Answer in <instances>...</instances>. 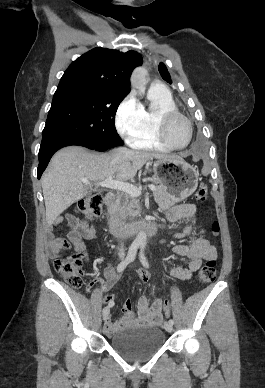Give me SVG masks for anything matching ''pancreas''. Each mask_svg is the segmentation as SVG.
Returning a JSON list of instances; mask_svg holds the SVG:
<instances>
[{
  "label": "pancreas",
  "instance_id": "obj_1",
  "mask_svg": "<svg viewBox=\"0 0 265 388\" xmlns=\"http://www.w3.org/2000/svg\"><path fill=\"white\" fill-rule=\"evenodd\" d=\"M153 194L156 204H158L159 208H162V210H167V208H170V206L175 204L174 196L168 194L163 186H156V192H153ZM114 210L115 214L120 216L122 220H126L128 216L135 218V216H140L139 200H137V198H133L130 194H125L124 192L122 198H118V200H116Z\"/></svg>",
  "mask_w": 265,
  "mask_h": 388
}]
</instances>
